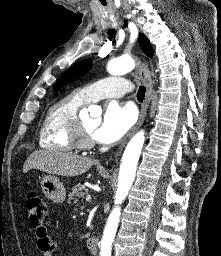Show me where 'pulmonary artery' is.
I'll use <instances>...</instances> for the list:
<instances>
[{"instance_id":"1","label":"pulmonary artery","mask_w":221,"mask_h":256,"mask_svg":"<svg viewBox=\"0 0 221 256\" xmlns=\"http://www.w3.org/2000/svg\"><path fill=\"white\" fill-rule=\"evenodd\" d=\"M130 91V83L123 77H108L86 85L80 92L88 102L103 98H120Z\"/></svg>"}]
</instances>
